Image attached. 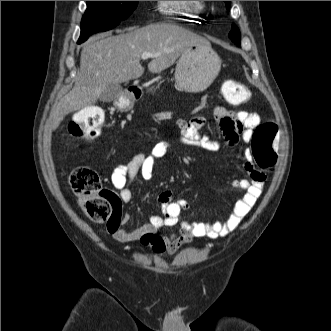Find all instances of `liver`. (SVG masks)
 Wrapping results in <instances>:
<instances>
[{
	"label": "liver",
	"mask_w": 331,
	"mask_h": 331,
	"mask_svg": "<svg viewBox=\"0 0 331 331\" xmlns=\"http://www.w3.org/2000/svg\"><path fill=\"white\" fill-rule=\"evenodd\" d=\"M209 43L201 36L171 23H157L117 36L88 41L81 52L80 71L72 90L53 106L48 126L56 130L66 115L95 104L112 84L141 77L143 53L157 54L148 70L161 73L192 45Z\"/></svg>",
	"instance_id": "6515ba94"
}]
</instances>
